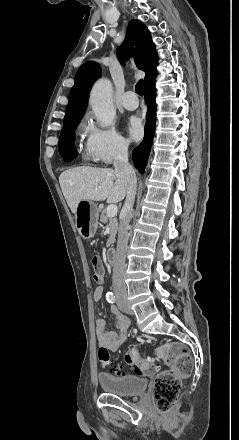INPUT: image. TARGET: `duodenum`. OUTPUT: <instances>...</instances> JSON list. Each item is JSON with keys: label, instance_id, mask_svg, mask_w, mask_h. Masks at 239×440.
Returning a JSON list of instances; mask_svg holds the SVG:
<instances>
[{"label": "duodenum", "instance_id": "410a0bca", "mask_svg": "<svg viewBox=\"0 0 239 440\" xmlns=\"http://www.w3.org/2000/svg\"><path fill=\"white\" fill-rule=\"evenodd\" d=\"M116 252L114 249H109L106 253L107 262L111 265L115 263Z\"/></svg>", "mask_w": 239, "mask_h": 440}]
</instances>
